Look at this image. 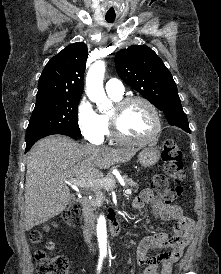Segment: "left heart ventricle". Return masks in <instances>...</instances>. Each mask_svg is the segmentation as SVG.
<instances>
[{"label": "left heart ventricle", "mask_w": 221, "mask_h": 274, "mask_svg": "<svg viewBox=\"0 0 221 274\" xmlns=\"http://www.w3.org/2000/svg\"><path fill=\"white\" fill-rule=\"evenodd\" d=\"M119 126L125 136L133 139H141L151 133L154 121L150 110L143 103L134 102L120 113Z\"/></svg>", "instance_id": "1"}]
</instances>
